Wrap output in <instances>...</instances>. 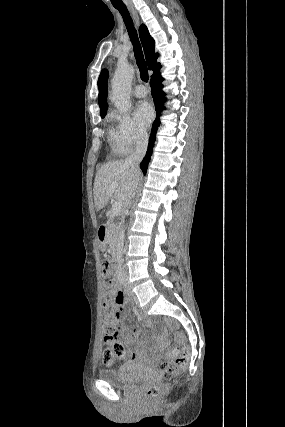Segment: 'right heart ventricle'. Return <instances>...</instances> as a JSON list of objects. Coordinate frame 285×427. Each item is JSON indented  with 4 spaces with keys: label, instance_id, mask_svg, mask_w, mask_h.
Listing matches in <instances>:
<instances>
[{
    "label": "right heart ventricle",
    "instance_id": "obj_1",
    "mask_svg": "<svg viewBox=\"0 0 285 427\" xmlns=\"http://www.w3.org/2000/svg\"><path fill=\"white\" fill-rule=\"evenodd\" d=\"M110 136H111V139L114 141L115 139H114V137H113L112 129L110 130ZM113 146H114V150H115L118 154H122V153H121V151L119 150V148L117 147V144H116V143H114V144H113Z\"/></svg>",
    "mask_w": 285,
    "mask_h": 427
}]
</instances>
